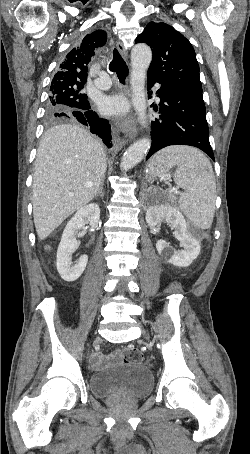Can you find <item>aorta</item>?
Here are the masks:
<instances>
[{"label":"aorta","mask_w":250,"mask_h":454,"mask_svg":"<svg viewBox=\"0 0 250 454\" xmlns=\"http://www.w3.org/2000/svg\"><path fill=\"white\" fill-rule=\"evenodd\" d=\"M152 60V51L145 44H137L131 51V75L130 84L132 89V104L138 115L139 123L147 128L146 115V92L145 79L147 70ZM151 146V139L144 137L133 143L124 153L121 160V169L128 171L137 165L148 153Z\"/></svg>","instance_id":"obj_1"}]
</instances>
